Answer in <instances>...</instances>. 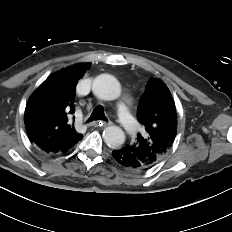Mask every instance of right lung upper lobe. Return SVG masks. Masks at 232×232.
Listing matches in <instances>:
<instances>
[{
    "label": "right lung upper lobe",
    "instance_id": "right-lung-upper-lobe-1",
    "mask_svg": "<svg viewBox=\"0 0 232 232\" xmlns=\"http://www.w3.org/2000/svg\"><path fill=\"white\" fill-rule=\"evenodd\" d=\"M90 65L80 63L51 74L30 96L24 114L25 128L31 143L44 153H65L82 139L69 115L75 110L77 82Z\"/></svg>",
    "mask_w": 232,
    "mask_h": 232
}]
</instances>
